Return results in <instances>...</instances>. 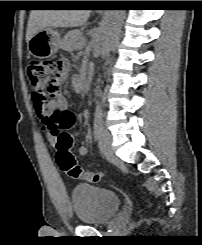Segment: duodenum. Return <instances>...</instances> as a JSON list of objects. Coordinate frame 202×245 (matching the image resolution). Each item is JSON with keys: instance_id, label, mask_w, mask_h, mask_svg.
Listing matches in <instances>:
<instances>
[{"instance_id": "obj_1", "label": "duodenum", "mask_w": 202, "mask_h": 245, "mask_svg": "<svg viewBox=\"0 0 202 245\" xmlns=\"http://www.w3.org/2000/svg\"><path fill=\"white\" fill-rule=\"evenodd\" d=\"M93 71H94V68L91 64H89L87 66V75H86V79L84 81V86L83 88L86 90L89 88L91 82H92V75H93Z\"/></svg>"}]
</instances>
